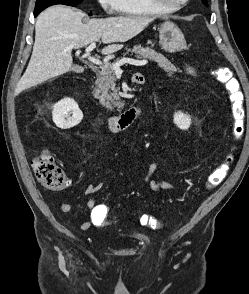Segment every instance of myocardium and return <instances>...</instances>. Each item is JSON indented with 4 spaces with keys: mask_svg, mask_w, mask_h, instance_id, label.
Here are the masks:
<instances>
[{
    "mask_svg": "<svg viewBox=\"0 0 249 294\" xmlns=\"http://www.w3.org/2000/svg\"><path fill=\"white\" fill-rule=\"evenodd\" d=\"M149 1L151 2L152 5H154L158 9H160V10L166 12V13H172V12L178 11L181 8H183L185 5H187V3L190 0H184L180 4H177V5H174V6H171V5L166 4L164 2V0H149Z\"/></svg>",
    "mask_w": 249,
    "mask_h": 294,
    "instance_id": "1",
    "label": "myocardium"
}]
</instances>
